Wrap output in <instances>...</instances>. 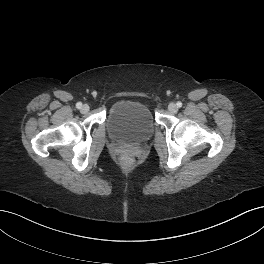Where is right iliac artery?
<instances>
[{"instance_id":"right-iliac-artery-1","label":"right iliac artery","mask_w":264,"mask_h":264,"mask_svg":"<svg viewBox=\"0 0 264 264\" xmlns=\"http://www.w3.org/2000/svg\"><path fill=\"white\" fill-rule=\"evenodd\" d=\"M76 107H77L78 109H80V108L82 107V103H81V102H78V103L76 104Z\"/></svg>"}]
</instances>
